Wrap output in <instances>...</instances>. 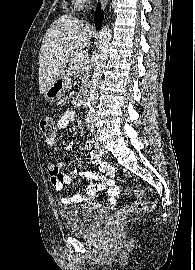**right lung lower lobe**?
I'll return each mask as SVG.
<instances>
[{"instance_id":"98d812e1","label":"right lung lower lobe","mask_w":195,"mask_h":270,"mask_svg":"<svg viewBox=\"0 0 195 270\" xmlns=\"http://www.w3.org/2000/svg\"><path fill=\"white\" fill-rule=\"evenodd\" d=\"M103 18H104V12L101 10V4L99 3L95 12V16H94L95 27L98 30L101 29Z\"/></svg>"}]
</instances>
